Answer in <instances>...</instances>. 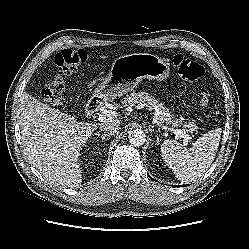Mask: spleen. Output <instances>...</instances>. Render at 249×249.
<instances>
[{
	"mask_svg": "<svg viewBox=\"0 0 249 249\" xmlns=\"http://www.w3.org/2000/svg\"><path fill=\"white\" fill-rule=\"evenodd\" d=\"M221 132L220 128L207 132L189 149L176 140H166L161 145L162 158L181 182L195 181L213 162Z\"/></svg>",
	"mask_w": 249,
	"mask_h": 249,
	"instance_id": "3e777b00",
	"label": "spleen"
}]
</instances>
